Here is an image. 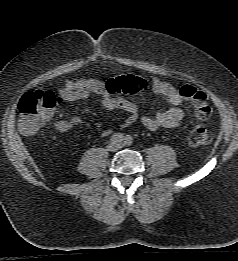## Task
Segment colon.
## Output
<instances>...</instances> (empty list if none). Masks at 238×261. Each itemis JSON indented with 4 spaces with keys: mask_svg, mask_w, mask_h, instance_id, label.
<instances>
[{
    "mask_svg": "<svg viewBox=\"0 0 238 261\" xmlns=\"http://www.w3.org/2000/svg\"><path fill=\"white\" fill-rule=\"evenodd\" d=\"M146 87V80L134 75L118 76L105 83L106 91L112 95L135 94ZM179 92L184 99L192 103L198 119L207 120L210 118L212 110L203 91L191 85H184ZM59 102L58 97L50 91L40 90L24 94L18 106L20 131L26 136L35 134L46 123L49 112ZM188 139L194 147L205 146L211 140L207 128L202 124H196L191 128Z\"/></svg>",
    "mask_w": 238,
    "mask_h": 261,
    "instance_id": "5ec220e1",
    "label": "colon"
}]
</instances>
